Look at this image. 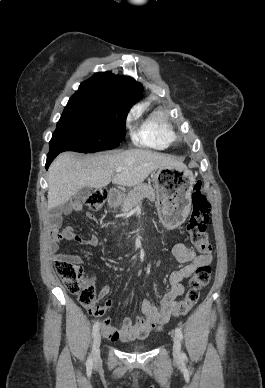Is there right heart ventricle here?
<instances>
[{
	"label": "right heart ventricle",
	"mask_w": 265,
	"mask_h": 388,
	"mask_svg": "<svg viewBox=\"0 0 265 388\" xmlns=\"http://www.w3.org/2000/svg\"><path fill=\"white\" fill-rule=\"evenodd\" d=\"M134 138L137 142L164 148L174 141L175 135L163 111L156 110L139 129L134 131Z\"/></svg>",
	"instance_id": "right-heart-ventricle-1"
}]
</instances>
